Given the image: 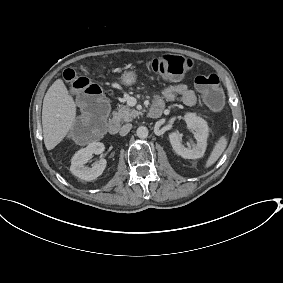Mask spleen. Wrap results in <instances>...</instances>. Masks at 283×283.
I'll return each instance as SVG.
<instances>
[{"mask_svg": "<svg viewBox=\"0 0 283 283\" xmlns=\"http://www.w3.org/2000/svg\"><path fill=\"white\" fill-rule=\"evenodd\" d=\"M228 145V138L226 136H221L218 138V140L215 142L214 147L209 155V157L206 160V163L204 165V169L210 168L212 165H214L220 156L224 153Z\"/></svg>", "mask_w": 283, "mask_h": 283, "instance_id": "3e777b00", "label": "spleen"}]
</instances>
